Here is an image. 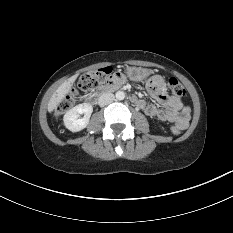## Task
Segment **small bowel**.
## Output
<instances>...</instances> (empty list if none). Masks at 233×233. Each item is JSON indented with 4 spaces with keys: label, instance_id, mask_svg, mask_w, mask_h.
Instances as JSON below:
<instances>
[{
    "label": "small bowel",
    "instance_id": "obj_1",
    "mask_svg": "<svg viewBox=\"0 0 233 233\" xmlns=\"http://www.w3.org/2000/svg\"><path fill=\"white\" fill-rule=\"evenodd\" d=\"M133 82L134 76L128 75L127 71H119L111 77L114 85H120L123 81ZM146 86L149 94L154 98L158 105H153L140 100L137 105L144 113L152 118L163 122L174 123L181 130L187 128L190 120V108L173 96L168 95L164 80L159 77H149Z\"/></svg>",
    "mask_w": 233,
    "mask_h": 233
}]
</instances>
